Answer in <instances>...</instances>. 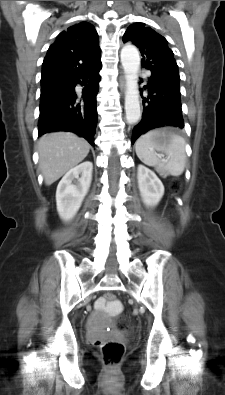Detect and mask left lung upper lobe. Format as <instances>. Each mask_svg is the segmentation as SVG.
Here are the masks:
<instances>
[{"label": "left lung upper lobe", "mask_w": 225, "mask_h": 395, "mask_svg": "<svg viewBox=\"0 0 225 395\" xmlns=\"http://www.w3.org/2000/svg\"><path fill=\"white\" fill-rule=\"evenodd\" d=\"M123 42L135 44L142 55L141 64L151 73L179 77L178 66L167 40L144 23H134L123 35Z\"/></svg>", "instance_id": "obj_1"}]
</instances>
